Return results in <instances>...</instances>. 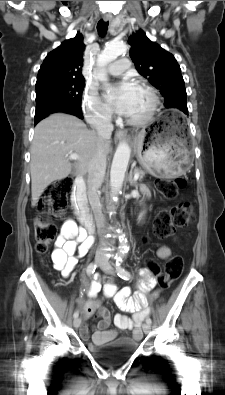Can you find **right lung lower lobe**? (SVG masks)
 <instances>
[{
	"label": "right lung lower lobe",
	"mask_w": 225,
	"mask_h": 395,
	"mask_svg": "<svg viewBox=\"0 0 225 395\" xmlns=\"http://www.w3.org/2000/svg\"><path fill=\"white\" fill-rule=\"evenodd\" d=\"M57 112L69 113V114L79 117L80 119H83L81 105L64 104V105H59L54 108H51L47 112H45L39 116H35V124H37L41 119L45 118L49 114L57 113Z\"/></svg>",
	"instance_id": "98d812e1"
}]
</instances>
